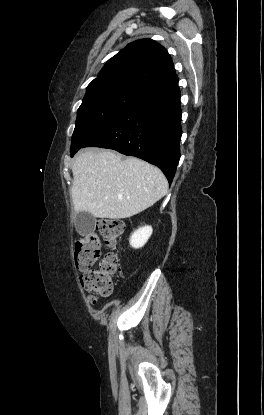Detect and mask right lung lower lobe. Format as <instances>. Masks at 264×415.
Returning a JSON list of instances; mask_svg holds the SVG:
<instances>
[{
  "mask_svg": "<svg viewBox=\"0 0 264 415\" xmlns=\"http://www.w3.org/2000/svg\"><path fill=\"white\" fill-rule=\"evenodd\" d=\"M180 96L177 85L142 99L81 147L109 148L141 158L158 166L171 183L180 159Z\"/></svg>",
  "mask_w": 264,
  "mask_h": 415,
  "instance_id": "1",
  "label": "right lung lower lobe"
}]
</instances>
